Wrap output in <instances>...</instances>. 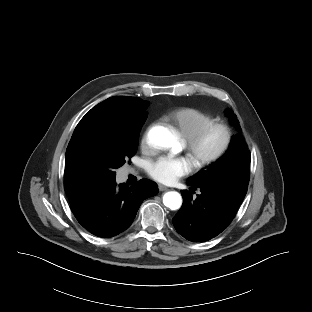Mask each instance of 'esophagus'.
<instances>
[{
  "mask_svg": "<svg viewBox=\"0 0 312 312\" xmlns=\"http://www.w3.org/2000/svg\"><path fill=\"white\" fill-rule=\"evenodd\" d=\"M158 189H159V191H167L168 190V188L162 184L158 185Z\"/></svg>",
  "mask_w": 312,
  "mask_h": 312,
  "instance_id": "obj_1",
  "label": "esophagus"
}]
</instances>
